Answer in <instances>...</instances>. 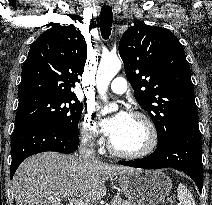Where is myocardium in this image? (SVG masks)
Instances as JSON below:
<instances>
[{
  "label": "myocardium",
  "mask_w": 212,
  "mask_h": 205,
  "mask_svg": "<svg viewBox=\"0 0 212 205\" xmlns=\"http://www.w3.org/2000/svg\"><path fill=\"white\" fill-rule=\"evenodd\" d=\"M130 116L140 120L144 124L147 131V141L145 145L137 151L127 152V151H122L116 148L112 140L110 139L108 142V149L113 155L121 157V158L141 159L152 154L157 148L158 132L154 122L147 114L136 111L131 113Z\"/></svg>",
  "instance_id": "1"
}]
</instances>
